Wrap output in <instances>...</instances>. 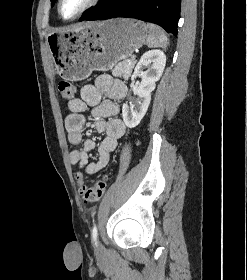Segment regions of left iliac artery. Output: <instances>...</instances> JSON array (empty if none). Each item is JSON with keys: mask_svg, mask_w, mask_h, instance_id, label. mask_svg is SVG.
I'll return each instance as SVG.
<instances>
[{"mask_svg": "<svg viewBox=\"0 0 247 280\" xmlns=\"http://www.w3.org/2000/svg\"><path fill=\"white\" fill-rule=\"evenodd\" d=\"M92 240L94 241L95 245H97V226L94 225L92 229Z\"/></svg>", "mask_w": 247, "mask_h": 280, "instance_id": "44dca946", "label": "left iliac artery"}]
</instances>
